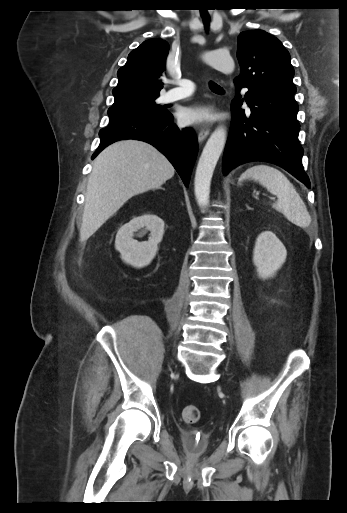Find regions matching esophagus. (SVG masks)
<instances>
[{"label": "esophagus", "instance_id": "esophagus-1", "mask_svg": "<svg viewBox=\"0 0 347 513\" xmlns=\"http://www.w3.org/2000/svg\"><path fill=\"white\" fill-rule=\"evenodd\" d=\"M209 133H210V124L209 123L202 124L200 126V131L198 133V141H199V143L203 142L207 138Z\"/></svg>", "mask_w": 347, "mask_h": 513}]
</instances>
